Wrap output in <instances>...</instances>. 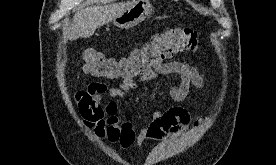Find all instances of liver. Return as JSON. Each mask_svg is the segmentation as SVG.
I'll return each instance as SVG.
<instances>
[{
  "instance_id": "1",
  "label": "liver",
  "mask_w": 276,
  "mask_h": 165,
  "mask_svg": "<svg viewBox=\"0 0 276 165\" xmlns=\"http://www.w3.org/2000/svg\"><path fill=\"white\" fill-rule=\"evenodd\" d=\"M135 1L120 2L108 5L90 6L75 13L73 22L66 31V37L70 41L78 38H89L95 30L109 23L128 10Z\"/></svg>"
}]
</instances>
